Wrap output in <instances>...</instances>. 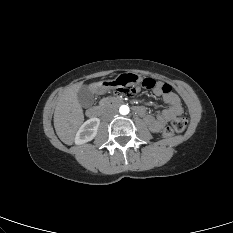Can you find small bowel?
Returning a JSON list of instances; mask_svg holds the SVG:
<instances>
[{
    "mask_svg": "<svg viewBox=\"0 0 233 233\" xmlns=\"http://www.w3.org/2000/svg\"><path fill=\"white\" fill-rule=\"evenodd\" d=\"M163 84L166 83L157 82V85L153 88V93L156 96H161L163 98L167 108L156 115L148 114L143 106H138L135 109L136 112L144 118V121L148 127L154 132H159L162 130L168 121H170L175 116L182 114L183 112L182 103L178 95L174 93L172 89L167 92H163L161 89Z\"/></svg>",
    "mask_w": 233,
    "mask_h": 233,
    "instance_id": "c3829d8e",
    "label": "small bowel"
}]
</instances>
